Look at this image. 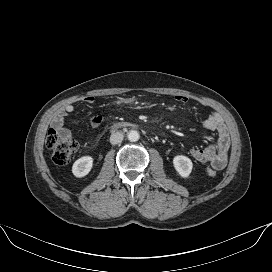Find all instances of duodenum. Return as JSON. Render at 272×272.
Instances as JSON below:
<instances>
[{
    "label": "duodenum",
    "mask_w": 272,
    "mask_h": 272,
    "mask_svg": "<svg viewBox=\"0 0 272 272\" xmlns=\"http://www.w3.org/2000/svg\"><path fill=\"white\" fill-rule=\"evenodd\" d=\"M124 126H125V125H122V124H116V125L113 126V128H114V129H117V128H119V127H124Z\"/></svg>",
    "instance_id": "obj_1"
}]
</instances>
